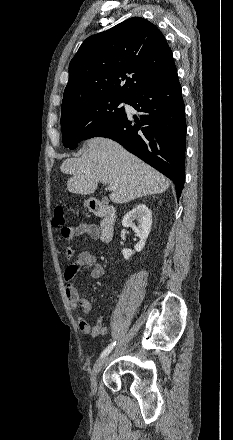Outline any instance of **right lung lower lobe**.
Here are the masks:
<instances>
[{
    "instance_id": "98d812e1",
    "label": "right lung lower lobe",
    "mask_w": 233,
    "mask_h": 440,
    "mask_svg": "<svg viewBox=\"0 0 233 440\" xmlns=\"http://www.w3.org/2000/svg\"><path fill=\"white\" fill-rule=\"evenodd\" d=\"M182 90L175 68L138 91L128 103L141 112L140 120L126 113L100 136L126 150L172 179L180 197L185 180L186 122Z\"/></svg>"
}]
</instances>
